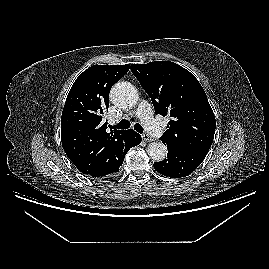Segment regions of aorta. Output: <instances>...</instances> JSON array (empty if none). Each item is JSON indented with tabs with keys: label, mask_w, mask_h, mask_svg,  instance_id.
<instances>
[{
	"label": "aorta",
	"mask_w": 269,
	"mask_h": 269,
	"mask_svg": "<svg viewBox=\"0 0 269 269\" xmlns=\"http://www.w3.org/2000/svg\"><path fill=\"white\" fill-rule=\"evenodd\" d=\"M112 102L122 108L134 106L138 101L136 88L127 82L116 83L110 93ZM167 147L162 142H154L149 145L148 154L154 161H163L167 156Z\"/></svg>",
	"instance_id": "aorta-1"
}]
</instances>
